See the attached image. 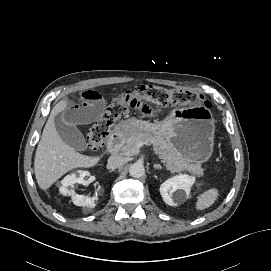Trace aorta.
Returning <instances> with one entry per match:
<instances>
[{"label": "aorta", "instance_id": "1", "mask_svg": "<svg viewBox=\"0 0 271 271\" xmlns=\"http://www.w3.org/2000/svg\"><path fill=\"white\" fill-rule=\"evenodd\" d=\"M145 168L144 165L140 162L132 164L129 168V174L134 178H140L144 175Z\"/></svg>", "mask_w": 271, "mask_h": 271}]
</instances>
